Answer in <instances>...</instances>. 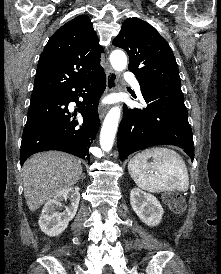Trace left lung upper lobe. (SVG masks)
<instances>
[{
	"instance_id": "5c2ea615",
	"label": "left lung upper lobe",
	"mask_w": 221,
	"mask_h": 274,
	"mask_svg": "<svg viewBox=\"0 0 221 274\" xmlns=\"http://www.w3.org/2000/svg\"><path fill=\"white\" fill-rule=\"evenodd\" d=\"M113 45L128 53V69L143 88L164 96L183 97L174 54L154 27L139 18H127Z\"/></svg>"
}]
</instances>
